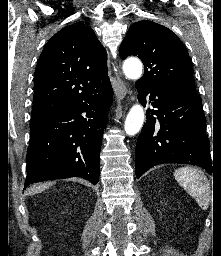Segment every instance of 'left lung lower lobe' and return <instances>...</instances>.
Masks as SVG:
<instances>
[{
  "label": "left lung lower lobe",
  "mask_w": 221,
  "mask_h": 256,
  "mask_svg": "<svg viewBox=\"0 0 221 256\" xmlns=\"http://www.w3.org/2000/svg\"><path fill=\"white\" fill-rule=\"evenodd\" d=\"M136 87L140 93L138 100L145 103L146 95L150 93L154 108L149 109L136 144L137 178L162 163L193 164L212 172L210 143L205 132L206 119L200 97L152 89L138 83Z\"/></svg>",
  "instance_id": "left-lung-lower-lobe-1"
}]
</instances>
